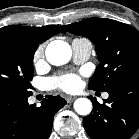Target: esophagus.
I'll return each mask as SVG.
<instances>
[{"label": "esophagus", "mask_w": 139, "mask_h": 139, "mask_svg": "<svg viewBox=\"0 0 139 139\" xmlns=\"http://www.w3.org/2000/svg\"><path fill=\"white\" fill-rule=\"evenodd\" d=\"M75 99H76L75 97H72V96H66V101H67L68 103L73 102Z\"/></svg>", "instance_id": "34e87169"}]
</instances>
